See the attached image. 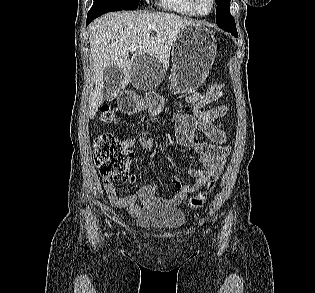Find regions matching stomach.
I'll return each instance as SVG.
<instances>
[{
  "label": "stomach",
  "mask_w": 315,
  "mask_h": 293,
  "mask_svg": "<svg viewBox=\"0 0 315 293\" xmlns=\"http://www.w3.org/2000/svg\"><path fill=\"white\" fill-rule=\"evenodd\" d=\"M216 40L210 30L200 24L182 29L172 47V75L170 88L174 94L197 89L207 78L216 56ZM119 110L134 112L148 108L158 114L164 99L155 93L138 96L137 92H120L117 96Z\"/></svg>",
  "instance_id": "stomach-1"
}]
</instances>
